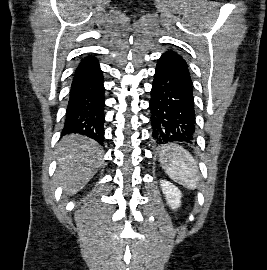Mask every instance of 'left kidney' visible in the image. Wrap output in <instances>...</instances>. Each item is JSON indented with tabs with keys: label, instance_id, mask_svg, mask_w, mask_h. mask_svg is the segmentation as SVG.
Segmentation results:
<instances>
[{
	"label": "left kidney",
	"instance_id": "5707ae66",
	"mask_svg": "<svg viewBox=\"0 0 267 270\" xmlns=\"http://www.w3.org/2000/svg\"><path fill=\"white\" fill-rule=\"evenodd\" d=\"M160 185L169 207L172 209L180 207L182 193L178 187L166 180H161Z\"/></svg>",
	"mask_w": 267,
	"mask_h": 270
}]
</instances>
